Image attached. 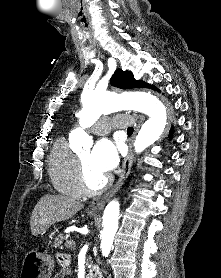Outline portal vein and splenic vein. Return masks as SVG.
<instances>
[{"mask_svg": "<svg viewBox=\"0 0 221 278\" xmlns=\"http://www.w3.org/2000/svg\"><path fill=\"white\" fill-rule=\"evenodd\" d=\"M68 243H69L70 245L75 244V242L72 241V240L68 241Z\"/></svg>", "mask_w": 221, "mask_h": 278, "instance_id": "18ae733b", "label": "portal vein and splenic vein"}]
</instances>
